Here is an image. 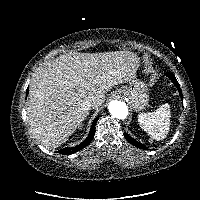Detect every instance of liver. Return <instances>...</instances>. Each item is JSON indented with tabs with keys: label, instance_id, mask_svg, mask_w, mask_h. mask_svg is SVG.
Instances as JSON below:
<instances>
[{
	"label": "liver",
	"instance_id": "1",
	"mask_svg": "<svg viewBox=\"0 0 200 200\" xmlns=\"http://www.w3.org/2000/svg\"><path fill=\"white\" fill-rule=\"evenodd\" d=\"M138 66L130 51L69 52L44 64L31 79L26 104L34 138L46 148L65 143L88 115L82 102L89 98L100 107L105 93L132 80Z\"/></svg>",
	"mask_w": 200,
	"mask_h": 200
}]
</instances>
